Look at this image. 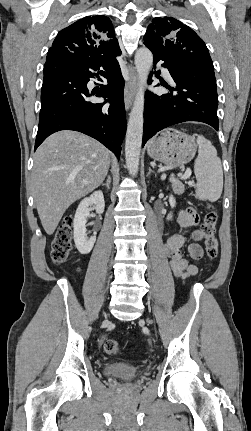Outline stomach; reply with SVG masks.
Listing matches in <instances>:
<instances>
[{"instance_id":"1","label":"stomach","mask_w":251,"mask_h":431,"mask_svg":"<svg viewBox=\"0 0 251 431\" xmlns=\"http://www.w3.org/2000/svg\"><path fill=\"white\" fill-rule=\"evenodd\" d=\"M196 148L193 137L168 128L149 142L147 153L168 166L181 167L194 158Z\"/></svg>"}]
</instances>
